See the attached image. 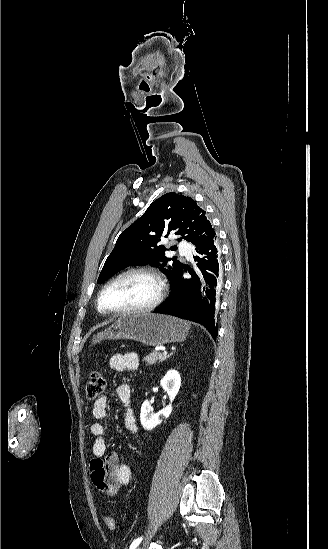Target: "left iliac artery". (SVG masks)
I'll list each match as a JSON object with an SVG mask.
<instances>
[{"instance_id": "obj_1", "label": "left iliac artery", "mask_w": 328, "mask_h": 549, "mask_svg": "<svg viewBox=\"0 0 328 549\" xmlns=\"http://www.w3.org/2000/svg\"><path fill=\"white\" fill-rule=\"evenodd\" d=\"M141 541H142V537L135 539L130 545V549H136V547L140 544Z\"/></svg>"}]
</instances>
